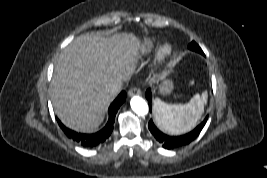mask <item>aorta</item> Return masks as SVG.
I'll use <instances>...</instances> for the list:
<instances>
[{
	"label": "aorta",
	"mask_w": 267,
	"mask_h": 178,
	"mask_svg": "<svg viewBox=\"0 0 267 178\" xmlns=\"http://www.w3.org/2000/svg\"><path fill=\"white\" fill-rule=\"evenodd\" d=\"M132 110L141 116L148 114L149 107L147 102L140 96H133L130 100Z\"/></svg>",
	"instance_id": "1"
}]
</instances>
